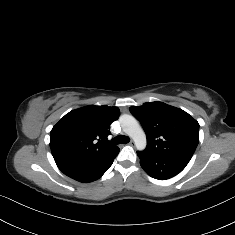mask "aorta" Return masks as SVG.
Masks as SVG:
<instances>
[{
	"label": "aorta",
	"mask_w": 235,
	"mask_h": 235,
	"mask_svg": "<svg viewBox=\"0 0 235 235\" xmlns=\"http://www.w3.org/2000/svg\"><path fill=\"white\" fill-rule=\"evenodd\" d=\"M119 122L123 131L133 139L137 150H144L147 144L146 135L138 121L131 115L123 114L120 116Z\"/></svg>",
	"instance_id": "762f6f07"
}]
</instances>
